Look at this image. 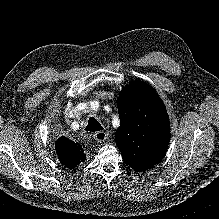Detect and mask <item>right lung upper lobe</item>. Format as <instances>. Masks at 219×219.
I'll list each match as a JSON object with an SVG mask.
<instances>
[{
  "label": "right lung upper lobe",
  "mask_w": 219,
  "mask_h": 219,
  "mask_svg": "<svg viewBox=\"0 0 219 219\" xmlns=\"http://www.w3.org/2000/svg\"><path fill=\"white\" fill-rule=\"evenodd\" d=\"M56 152L60 162L67 168H75L85 160L83 149L79 143H75L64 136L56 142Z\"/></svg>",
  "instance_id": "1"
}]
</instances>
